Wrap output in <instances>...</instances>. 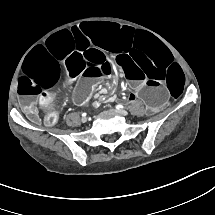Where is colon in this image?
<instances>
[{
	"instance_id": "5ec220e1",
	"label": "colon",
	"mask_w": 215,
	"mask_h": 215,
	"mask_svg": "<svg viewBox=\"0 0 215 215\" xmlns=\"http://www.w3.org/2000/svg\"><path fill=\"white\" fill-rule=\"evenodd\" d=\"M56 120H57V113L55 110L52 109L46 116V123L51 126L55 124Z\"/></svg>"
}]
</instances>
